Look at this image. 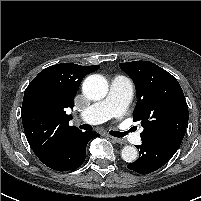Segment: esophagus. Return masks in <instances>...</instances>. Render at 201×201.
<instances>
[{"mask_svg": "<svg viewBox=\"0 0 201 201\" xmlns=\"http://www.w3.org/2000/svg\"><path fill=\"white\" fill-rule=\"evenodd\" d=\"M111 139L113 141H115L116 143H119V144H124L125 143V141L123 139H120V138L111 137Z\"/></svg>", "mask_w": 201, "mask_h": 201, "instance_id": "obj_1", "label": "esophagus"}]
</instances>
